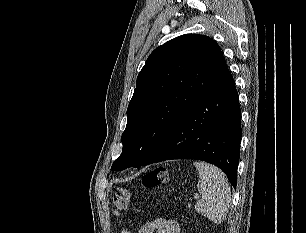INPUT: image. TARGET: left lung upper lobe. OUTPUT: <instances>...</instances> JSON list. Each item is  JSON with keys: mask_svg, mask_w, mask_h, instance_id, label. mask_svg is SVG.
<instances>
[{"mask_svg": "<svg viewBox=\"0 0 306 233\" xmlns=\"http://www.w3.org/2000/svg\"><path fill=\"white\" fill-rule=\"evenodd\" d=\"M225 65L219 45L204 35L185 34L156 48L137 77L112 169L142 166Z\"/></svg>", "mask_w": 306, "mask_h": 233, "instance_id": "obj_1", "label": "left lung upper lobe"}]
</instances>
